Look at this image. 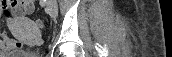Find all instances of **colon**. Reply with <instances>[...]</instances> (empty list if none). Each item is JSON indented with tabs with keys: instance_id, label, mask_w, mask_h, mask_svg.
Listing matches in <instances>:
<instances>
[{
	"instance_id": "1",
	"label": "colon",
	"mask_w": 172,
	"mask_h": 57,
	"mask_svg": "<svg viewBox=\"0 0 172 57\" xmlns=\"http://www.w3.org/2000/svg\"><path fill=\"white\" fill-rule=\"evenodd\" d=\"M4 15L7 17V18H12L14 15H15V12H13L12 10L10 9H5L4 10ZM37 24L39 27L43 28L46 26V21L43 20V19H38L37 20Z\"/></svg>"
}]
</instances>
